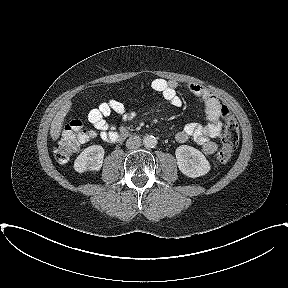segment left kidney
<instances>
[{"mask_svg":"<svg viewBox=\"0 0 288 288\" xmlns=\"http://www.w3.org/2000/svg\"><path fill=\"white\" fill-rule=\"evenodd\" d=\"M179 170L186 176L197 178L207 174L210 163L202 152L188 145H181L175 151Z\"/></svg>","mask_w":288,"mask_h":288,"instance_id":"left-kidney-1","label":"left kidney"}]
</instances>
